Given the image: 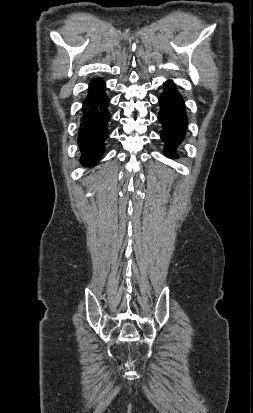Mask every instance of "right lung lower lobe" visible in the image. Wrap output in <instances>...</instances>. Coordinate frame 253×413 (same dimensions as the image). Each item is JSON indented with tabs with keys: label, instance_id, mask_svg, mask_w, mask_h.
<instances>
[{
	"label": "right lung lower lobe",
	"instance_id": "obj_1",
	"mask_svg": "<svg viewBox=\"0 0 253 413\" xmlns=\"http://www.w3.org/2000/svg\"><path fill=\"white\" fill-rule=\"evenodd\" d=\"M108 104L105 83L100 79L93 80L83 101L78 135L80 161L83 166L97 163L105 150L104 141L108 137L107 123L111 118L107 110Z\"/></svg>",
	"mask_w": 253,
	"mask_h": 413
}]
</instances>
